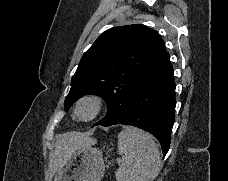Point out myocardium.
Masks as SVG:
<instances>
[{
  "label": "myocardium",
  "instance_id": "myocardium-1",
  "mask_svg": "<svg viewBox=\"0 0 228 181\" xmlns=\"http://www.w3.org/2000/svg\"><path fill=\"white\" fill-rule=\"evenodd\" d=\"M84 108L87 109L88 118L93 117L99 109L98 99H96L94 97H86V98L81 99L79 101V103L77 104L76 113L80 114V112Z\"/></svg>",
  "mask_w": 228,
  "mask_h": 181
}]
</instances>
